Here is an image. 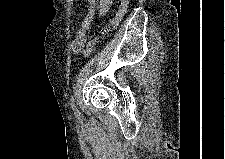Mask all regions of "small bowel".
Wrapping results in <instances>:
<instances>
[{
    "mask_svg": "<svg viewBox=\"0 0 225 159\" xmlns=\"http://www.w3.org/2000/svg\"><path fill=\"white\" fill-rule=\"evenodd\" d=\"M112 3L113 0H100L97 5L95 0L88 1V13L71 43V50L74 54H81L83 52L86 44L87 31L95 13L97 12L99 15H105L110 9Z\"/></svg>",
    "mask_w": 225,
    "mask_h": 159,
    "instance_id": "small-bowel-1",
    "label": "small bowel"
}]
</instances>
